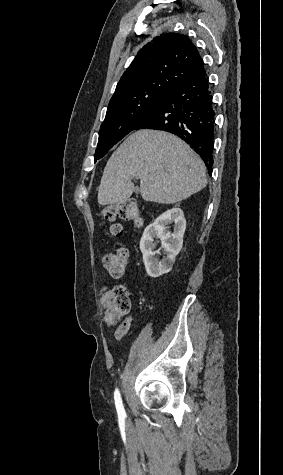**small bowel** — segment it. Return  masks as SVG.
Segmentation results:
<instances>
[{"instance_id": "1", "label": "small bowel", "mask_w": 283, "mask_h": 475, "mask_svg": "<svg viewBox=\"0 0 283 475\" xmlns=\"http://www.w3.org/2000/svg\"><path fill=\"white\" fill-rule=\"evenodd\" d=\"M101 294H102V302L104 304V306L107 305V301H108V297H109V290L107 288H103L102 291H101ZM107 320V319H105ZM125 331H126V327L124 328H118L115 332H114V337L116 340H121L125 334Z\"/></svg>"}]
</instances>
